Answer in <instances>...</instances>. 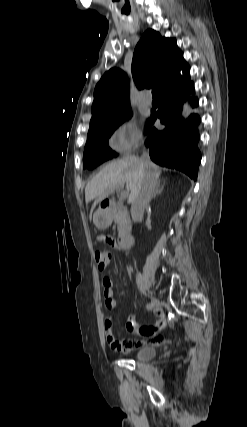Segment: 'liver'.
Instances as JSON below:
<instances>
[{
  "instance_id": "obj_1",
  "label": "liver",
  "mask_w": 247,
  "mask_h": 427,
  "mask_svg": "<svg viewBox=\"0 0 247 427\" xmlns=\"http://www.w3.org/2000/svg\"><path fill=\"white\" fill-rule=\"evenodd\" d=\"M151 172L156 179L161 172L157 165L151 162ZM144 177V166L137 156H125L107 164L98 174H96L85 188V200L88 204L96 198L103 199L115 188L126 184L130 191L129 199L132 201L139 192Z\"/></svg>"
}]
</instances>
